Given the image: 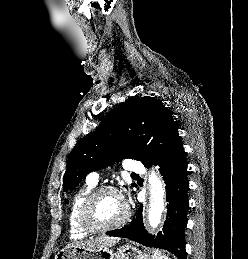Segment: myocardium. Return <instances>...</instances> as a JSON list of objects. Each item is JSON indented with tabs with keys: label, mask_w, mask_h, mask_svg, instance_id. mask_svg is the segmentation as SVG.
Segmentation results:
<instances>
[{
	"label": "myocardium",
	"mask_w": 248,
	"mask_h": 259,
	"mask_svg": "<svg viewBox=\"0 0 248 259\" xmlns=\"http://www.w3.org/2000/svg\"><path fill=\"white\" fill-rule=\"evenodd\" d=\"M104 193H115L119 195L124 201V198L121 192L113 186H101L93 189L83 200L78 213L79 223L81 227L84 230H86L88 233H102V232L114 230L122 227L129 220L130 209L127 203L124 201L125 212L118 221L111 224H106V225H100L95 222L92 214L93 206L96 200Z\"/></svg>",
	"instance_id": "myocardium-1"
}]
</instances>
